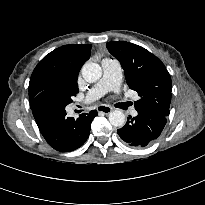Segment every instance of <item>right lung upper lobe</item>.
Wrapping results in <instances>:
<instances>
[{
  "mask_svg": "<svg viewBox=\"0 0 205 205\" xmlns=\"http://www.w3.org/2000/svg\"><path fill=\"white\" fill-rule=\"evenodd\" d=\"M90 44H70L47 54L34 69L29 82V100L41 92L63 90L68 79H76L82 65L90 57Z\"/></svg>",
  "mask_w": 205,
  "mask_h": 205,
  "instance_id": "obj_1",
  "label": "right lung upper lobe"
}]
</instances>
